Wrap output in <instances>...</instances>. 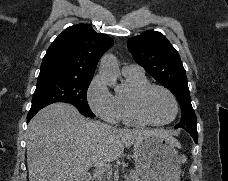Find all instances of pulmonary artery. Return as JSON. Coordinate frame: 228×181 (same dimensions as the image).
Returning <instances> with one entry per match:
<instances>
[{"mask_svg":"<svg viewBox=\"0 0 228 181\" xmlns=\"http://www.w3.org/2000/svg\"><path fill=\"white\" fill-rule=\"evenodd\" d=\"M125 70H129V75H142V70H139V65H125Z\"/></svg>","mask_w":228,"mask_h":181,"instance_id":"obj_1","label":"pulmonary artery"}]
</instances>
